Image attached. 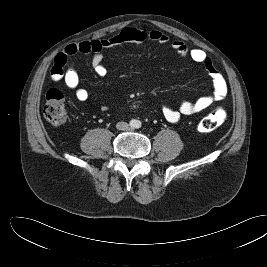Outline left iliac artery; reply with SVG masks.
Returning a JSON list of instances; mask_svg holds the SVG:
<instances>
[{
	"label": "left iliac artery",
	"mask_w": 267,
	"mask_h": 267,
	"mask_svg": "<svg viewBox=\"0 0 267 267\" xmlns=\"http://www.w3.org/2000/svg\"><path fill=\"white\" fill-rule=\"evenodd\" d=\"M136 127H137V128H140V127H141V123L138 122V123L136 124Z\"/></svg>",
	"instance_id": "obj_1"
}]
</instances>
